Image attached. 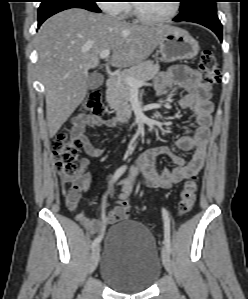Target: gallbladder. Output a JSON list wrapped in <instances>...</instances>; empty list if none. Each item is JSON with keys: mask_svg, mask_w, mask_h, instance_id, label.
Segmentation results:
<instances>
[{"mask_svg": "<svg viewBox=\"0 0 248 299\" xmlns=\"http://www.w3.org/2000/svg\"><path fill=\"white\" fill-rule=\"evenodd\" d=\"M103 81L104 78L101 74L93 73L88 77L87 86L89 89H96L103 84Z\"/></svg>", "mask_w": 248, "mask_h": 299, "instance_id": "bac80fb5", "label": "gallbladder"}]
</instances>
